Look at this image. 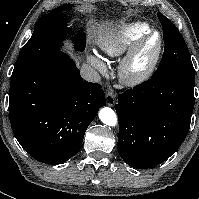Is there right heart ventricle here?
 Masks as SVG:
<instances>
[{"mask_svg":"<svg viewBox=\"0 0 199 199\" xmlns=\"http://www.w3.org/2000/svg\"><path fill=\"white\" fill-rule=\"evenodd\" d=\"M150 30V26L144 22L125 24L101 37L98 45L110 57H120Z\"/></svg>","mask_w":199,"mask_h":199,"instance_id":"1","label":"right heart ventricle"}]
</instances>
